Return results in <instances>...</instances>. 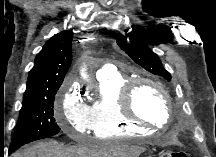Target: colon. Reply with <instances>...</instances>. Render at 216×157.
<instances>
[{
    "instance_id": "1",
    "label": "colon",
    "mask_w": 216,
    "mask_h": 157,
    "mask_svg": "<svg viewBox=\"0 0 216 157\" xmlns=\"http://www.w3.org/2000/svg\"><path fill=\"white\" fill-rule=\"evenodd\" d=\"M161 157H187V152L183 149L170 150L162 153Z\"/></svg>"
}]
</instances>
